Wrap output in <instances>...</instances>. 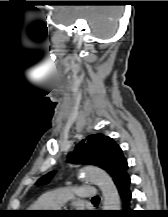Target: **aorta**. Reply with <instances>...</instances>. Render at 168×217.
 Instances as JSON below:
<instances>
[{"label":"aorta","instance_id":"obj_1","mask_svg":"<svg viewBox=\"0 0 168 217\" xmlns=\"http://www.w3.org/2000/svg\"><path fill=\"white\" fill-rule=\"evenodd\" d=\"M84 178L100 188L103 194V210H120V196L112 178L102 169L87 166Z\"/></svg>","mask_w":168,"mask_h":217}]
</instances>
